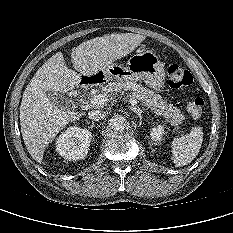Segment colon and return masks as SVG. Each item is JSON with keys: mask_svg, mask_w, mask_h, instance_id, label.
<instances>
[{"mask_svg": "<svg viewBox=\"0 0 233 233\" xmlns=\"http://www.w3.org/2000/svg\"><path fill=\"white\" fill-rule=\"evenodd\" d=\"M167 73L169 84L172 88L178 89L191 86L193 84L192 74L178 64H171L168 67ZM204 105V99L197 96L187 104V111L194 118H198L203 112Z\"/></svg>", "mask_w": 233, "mask_h": 233, "instance_id": "obj_1", "label": "colon"}]
</instances>
